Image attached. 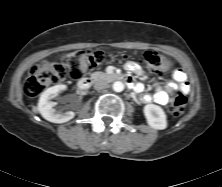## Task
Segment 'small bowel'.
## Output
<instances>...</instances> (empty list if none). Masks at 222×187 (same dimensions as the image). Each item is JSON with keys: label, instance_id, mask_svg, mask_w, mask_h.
<instances>
[{"label": "small bowel", "instance_id": "1", "mask_svg": "<svg viewBox=\"0 0 222 187\" xmlns=\"http://www.w3.org/2000/svg\"><path fill=\"white\" fill-rule=\"evenodd\" d=\"M127 69L134 74H142L141 68L135 63L128 64ZM174 77L178 82L177 88L184 93H188L190 90V85L189 82L187 81L185 73L182 70L177 69L174 73ZM142 88L143 86L141 84L136 85L137 91H141ZM142 101L143 102L154 101L160 105H166L170 101V96L162 87L158 86L154 89L152 94L143 95Z\"/></svg>", "mask_w": 222, "mask_h": 187}]
</instances>
